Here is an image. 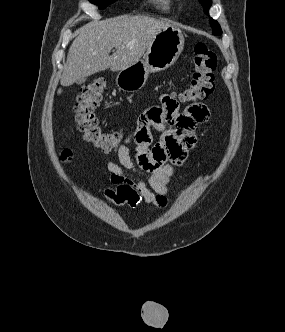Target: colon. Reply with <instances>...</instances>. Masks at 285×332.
I'll return each mask as SVG.
<instances>
[{"label":"colon","instance_id":"colon-1","mask_svg":"<svg viewBox=\"0 0 285 332\" xmlns=\"http://www.w3.org/2000/svg\"><path fill=\"white\" fill-rule=\"evenodd\" d=\"M217 64L216 54L203 42L194 46L192 58V74L188 87L178 94L179 103H196L206 99L214 90V70ZM105 81L93 80L81 88L75 104L76 122L85 141L95 148L109 153L115 151L122 140L120 132H105L95 115L105 90ZM61 161L69 163L72 153L64 149L60 154Z\"/></svg>","mask_w":285,"mask_h":332}]
</instances>
